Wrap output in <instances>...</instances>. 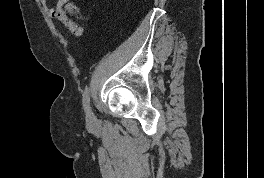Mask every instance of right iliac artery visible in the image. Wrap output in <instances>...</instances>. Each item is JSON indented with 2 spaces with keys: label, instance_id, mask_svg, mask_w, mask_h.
Segmentation results:
<instances>
[{
  "label": "right iliac artery",
  "instance_id": "right-iliac-artery-1",
  "mask_svg": "<svg viewBox=\"0 0 264 178\" xmlns=\"http://www.w3.org/2000/svg\"><path fill=\"white\" fill-rule=\"evenodd\" d=\"M89 102H90V92H89V89L86 88L83 94V107L86 112H88L89 110Z\"/></svg>",
  "mask_w": 264,
  "mask_h": 178
}]
</instances>
